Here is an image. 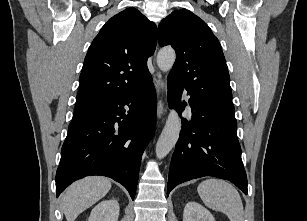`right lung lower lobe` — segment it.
Listing matches in <instances>:
<instances>
[{"label":"right lung lower lobe","mask_w":307,"mask_h":221,"mask_svg":"<svg viewBox=\"0 0 307 221\" xmlns=\"http://www.w3.org/2000/svg\"><path fill=\"white\" fill-rule=\"evenodd\" d=\"M155 123L156 94L151 75L140 89L72 120L56 172L57 197L75 180L102 175L121 183L134 199L141 157Z\"/></svg>","instance_id":"right-lung-lower-lobe-1"}]
</instances>
